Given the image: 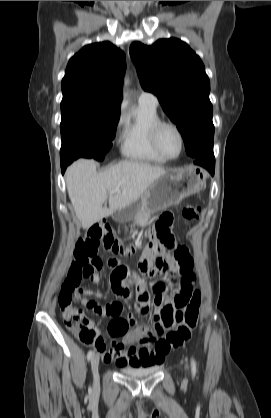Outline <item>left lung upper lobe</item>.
Segmentation results:
<instances>
[{"label":"left lung upper lobe","mask_w":271,"mask_h":418,"mask_svg":"<svg viewBox=\"0 0 271 418\" xmlns=\"http://www.w3.org/2000/svg\"><path fill=\"white\" fill-rule=\"evenodd\" d=\"M130 55L141 86L158 97L182 134L187 154L192 158L212 154L210 81L200 57L176 38L160 39L151 46L134 42Z\"/></svg>","instance_id":"obj_1"}]
</instances>
